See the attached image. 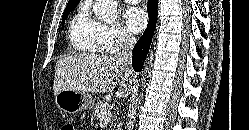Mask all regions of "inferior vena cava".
<instances>
[{
    "label": "inferior vena cava",
    "instance_id": "inferior-vena-cava-1",
    "mask_svg": "<svg viewBox=\"0 0 249 130\" xmlns=\"http://www.w3.org/2000/svg\"><path fill=\"white\" fill-rule=\"evenodd\" d=\"M136 43L135 37L131 35H124L120 51L116 55L117 61L126 69L131 70L132 49Z\"/></svg>",
    "mask_w": 249,
    "mask_h": 130
}]
</instances>
